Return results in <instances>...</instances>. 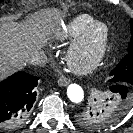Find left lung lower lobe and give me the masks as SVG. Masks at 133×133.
Returning <instances> with one entry per match:
<instances>
[{"mask_svg":"<svg viewBox=\"0 0 133 133\" xmlns=\"http://www.w3.org/2000/svg\"><path fill=\"white\" fill-rule=\"evenodd\" d=\"M110 91L116 94L117 96L120 95L121 97V100H122L121 103L120 101H113V98H111V102H113L115 106L123 107V108L127 107V104H128L127 95L131 91L130 86L125 84H114L110 86Z\"/></svg>","mask_w":133,"mask_h":133,"instance_id":"left-lung-lower-lobe-1","label":"left lung lower lobe"}]
</instances>
